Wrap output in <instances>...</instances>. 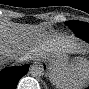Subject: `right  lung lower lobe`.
<instances>
[{"instance_id": "right-lung-lower-lobe-1", "label": "right lung lower lobe", "mask_w": 89, "mask_h": 89, "mask_svg": "<svg viewBox=\"0 0 89 89\" xmlns=\"http://www.w3.org/2000/svg\"><path fill=\"white\" fill-rule=\"evenodd\" d=\"M29 65L5 68L0 74V85L4 89H15L19 79L28 71Z\"/></svg>"}]
</instances>
